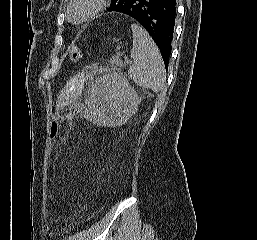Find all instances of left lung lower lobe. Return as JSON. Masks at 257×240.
I'll return each instance as SVG.
<instances>
[{"label": "left lung lower lobe", "instance_id": "1", "mask_svg": "<svg viewBox=\"0 0 257 240\" xmlns=\"http://www.w3.org/2000/svg\"><path fill=\"white\" fill-rule=\"evenodd\" d=\"M108 11L126 14L139 22L160 49L166 70L176 18V0H124Z\"/></svg>", "mask_w": 257, "mask_h": 240}]
</instances>
